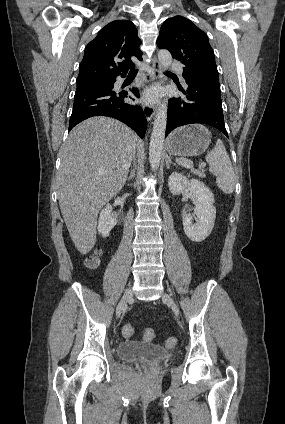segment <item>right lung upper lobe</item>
I'll return each mask as SVG.
<instances>
[{
    "mask_svg": "<svg viewBox=\"0 0 285 424\" xmlns=\"http://www.w3.org/2000/svg\"><path fill=\"white\" fill-rule=\"evenodd\" d=\"M141 40L129 20H115L107 24L85 48L79 66L78 84L116 80L127 74L131 56L142 60ZM122 60V62H119Z\"/></svg>",
    "mask_w": 285,
    "mask_h": 424,
    "instance_id": "1",
    "label": "right lung upper lobe"
}]
</instances>
